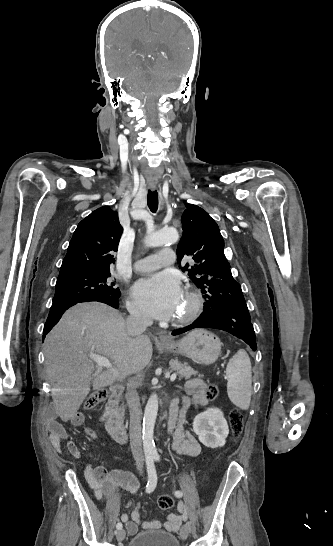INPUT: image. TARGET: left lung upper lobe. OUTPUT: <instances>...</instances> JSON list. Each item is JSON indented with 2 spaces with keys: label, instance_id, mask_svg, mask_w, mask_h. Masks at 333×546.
<instances>
[{
  "label": "left lung upper lobe",
  "instance_id": "obj_1",
  "mask_svg": "<svg viewBox=\"0 0 333 546\" xmlns=\"http://www.w3.org/2000/svg\"><path fill=\"white\" fill-rule=\"evenodd\" d=\"M181 222L183 235L176 251L179 267L188 272L204 294V311L217 309V304L245 303L241 286L233 279L224 255V241L217 223L202 208L188 203ZM186 258L195 263L181 266Z\"/></svg>",
  "mask_w": 333,
  "mask_h": 546
}]
</instances>
